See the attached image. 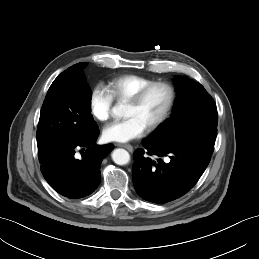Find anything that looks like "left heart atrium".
<instances>
[{
	"label": "left heart atrium",
	"instance_id": "1",
	"mask_svg": "<svg viewBox=\"0 0 259 259\" xmlns=\"http://www.w3.org/2000/svg\"><path fill=\"white\" fill-rule=\"evenodd\" d=\"M146 127L135 117H128L121 121L107 125L103 136L108 141L128 142L144 134Z\"/></svg>",
	"mask_w": 259,
	"mask_h": 259
}]
</instances>
